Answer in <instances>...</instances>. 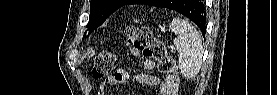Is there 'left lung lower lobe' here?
Segmentation results:
<instances>
[{"label":"left lung lower lobe","instance_id":"obj_1","mask_svg":"<svg viewBox=\"0 0 277 95\" xmlns=\"http://www.w3.org/2000/svg\"><path fill=\"white\" fill-rule=\"evenodd\" d=\"M153 1L154 0H132L129 4L151 5ZM156 2H160L162 5L161 7L170 8L182 13L197 24L202 34L205 33L206 16L201 0H176L174 2L172 0H156ZM169 3H171V5H169Z\"/></svg>","mask_w":277,"mask_h":95}]
</instances>
